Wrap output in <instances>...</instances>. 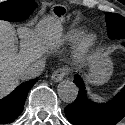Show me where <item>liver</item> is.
<instances>
[{
    "instance_id": "1",
    "label": "liver",
    "mask_w": 125,
    "mask_h": 125,
    "mask_svg": "<svg viewBox=\"0 0 125 125\" xmlns=\"http://www.w3.org/2000/svg\"><path fill=\"white\" fill-rule=\"evenodd\" d=\"M60 37L61 20L53 16L42 18L34 30L25 26L16 31L10 23L0 21V98L19 84L22 72L39 61L48 44L54 45Z\"/></svg>"
}]
</instances>
